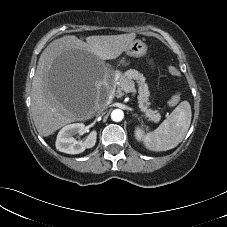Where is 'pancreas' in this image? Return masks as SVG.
<instances>
[{"instance_id": "pancreas-1", "label": "pancreas", "mask_w": 227, "mask_h": 227, "mask_svg": "<svg viewBox=\"0 0 227 227\" xmlns=\"http://www.w3.org/2000/svg\"><path fill=\"white\" fill-rule=\"evenodd\" d=\"M139 84V94H138V107L144 113L145 117L148 118L149 121L159 122L161 120V115L158 111H154L149 108V96L150 91L148 88V84L146 83V79L143 74L139 73L135 69H129L125 71L122 75H120L119 79L116 80L117 89L114 91V95L117 97H121L123 95V91L128 86H134V81Z\"/></svg>"}]
</instances>
